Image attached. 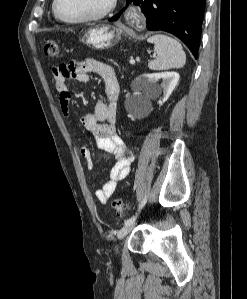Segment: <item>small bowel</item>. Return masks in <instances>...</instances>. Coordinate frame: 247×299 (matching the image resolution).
I'll return each instance as SVG.
<instances>
[{
    "instance_id": "small-bowel-1",
    "label": "small bowel",
    "mask_w": 247,
    "mask_h": 299,
    "mask_svg": "<svg viewBox=\"0 0 247 299\" xmlns=\"http://www.w3.org/2000/svg\"><path fill=\"white\" fill-rule=\"evenodd\" d=\"M59 104L64 115H70L71 94L67 86L68 79L80 83L89 81L91 73L98 74L104 81L106 101H98L93 112L86 113L81 119V125L93 136L97 147L115 155L116 163L110 171L107 181L96 191L100 203L105 204L113 195L117 185L128 175L133 155L117 135L115 122L120 86L114 69L103 62L86 59L78 64H60L52 69ZM80 154L86 167L92 169V152L88 146L82 147Z\"/></svg>"
}]
</instances>
